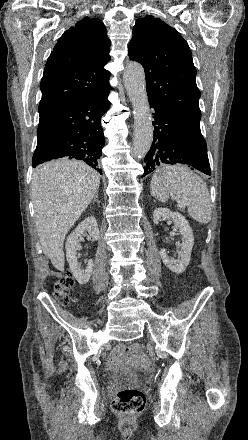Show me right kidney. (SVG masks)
<instances>
[{"instance_id": "1", "label": "right kidney", "mask_w": 248, "mask_h": 440, "mask_svg": "<svg viewBox=\"0 0 248 440\" xmlns=\"http://www.w3.org/2000/svg\"><path fill=\"white\" fill-rule=\"evenodd\" d=\"M87 232L93 240H97L99 237V228L95 217H87L82 221L76 229L68 236L66 241V258L69 263L70 271L79 284H86L93 272V260L90 259L87 262L86 269H81L77 260V250L79 248V236Z\"/></svg>"}]
</instances>
